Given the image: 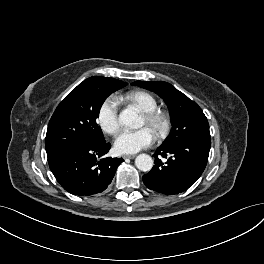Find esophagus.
Segmentation results:
<instances>
[{
	"instance_id": "1",
	"label": "esophagus",
	"mask_w": 264,
	"mask_h": 264,
	"mask_svg": "<svg viewBox=\"0 0 264 264\" xmlns=\"http://www.w3.org/2000/svg\"><path fill=\"white\" fill-rule=\"evenodd\" d=\"M135 157H136V155H134V154H127V155L123 156L124 159H133Z\"/></svg>"
}]
</instances>
